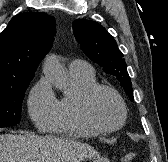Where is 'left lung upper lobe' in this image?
<instances>
[{
    "instance_id": "left-lung-upper-lobe-1",
    "label": "left lung upper lobe",
    "mask_w": 168,
    "mask_h": 162,
    "mask_svg": "<svg viewBox=\"0 0 168 162\" xmlns=\"http://www.w3.org/2000/svg\"><path fill=\"white\" fill-rule=\"evenodd\" d=\"M73 32L82 51L93 62L103 67L105 73L115 76L129 99L133 101L132 84L126 62L115 39L100 24L84 19L73 22Z\"/></svg>"
}]
</instances>
